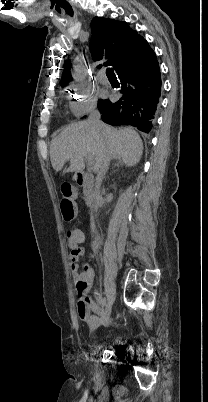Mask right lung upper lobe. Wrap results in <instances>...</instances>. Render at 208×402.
<instances>
[{
	"label": "right lung upper lobe",
	"mask_w": 208,
	"mask_h": 402,
	"mask_svg": "<svg viewBox=\"0 0 208 402\" xmlns=\"http://www.w3.org/2000/svg\"><path fill=\"white\" fill-rule=\"evenodd\" d=\"M91 28L90 50L93 58L95 60L107 58L105 65H112L116 70L118 59L129 49L138 33L126 22L102 17H95L91 22ZM71 80L69 67H66L62 75V84L65 85Z\"/></svg>",
	"instance_id": "right-lung-upper-lobe-1"
}]
</instances>
